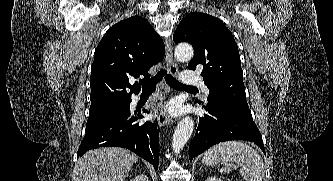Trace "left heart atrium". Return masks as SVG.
Returning a JSON list of instances; mask_svg holds the SVG:
<instances>
[{
    "label": "left heart atrium",
    "instance_id": "left-heart-atrium-1",
    "mask_svg": "<svg viewBox=\"0 0 333 181\" xmlns=\"http://www.w3.org/2000/svg\"><path fill=\"white\" fill-rule=\"evenodd\" d=\"M167 112L170 114V115H177L179 114L180 112V108L178 106V104L176 103H171L169 104L168 108H167Z\"/></svg>",
    "mask_w": 333,
    "mask_h": 181
}]
</instances>
